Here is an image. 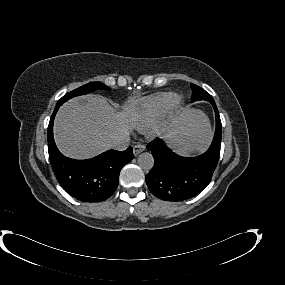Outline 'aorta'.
Returning <instances> with one entry per match:
<instances>
[{"label": "aorta", "mask_w": 285, "mask_h": 285, "mask_svg": "<svg viewBox=\"0 0 285 285\" xmlns=\"http://www.w3.org/2000/svg\"><path fill=\"white\" fill-rule=\"evenodd\" d=\"M137 162L144 170H150L154 165V158L151 153L144 152L139 155Z\"/></svg>", "instance_id": "762f6f07"}]
</instances>
